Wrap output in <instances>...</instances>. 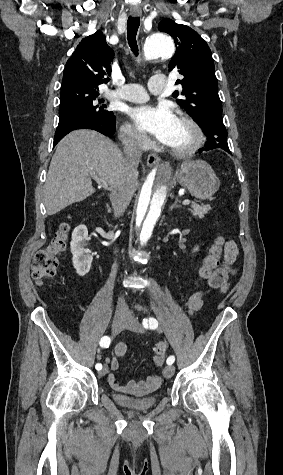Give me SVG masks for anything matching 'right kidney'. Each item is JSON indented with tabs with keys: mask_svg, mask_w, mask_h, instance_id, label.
<instances>
[{
	"mask_svg": "<svg viewBox=\"0 0 283 475\" xmlns=\"http://www.w3.org/2000/svg\"><path fill=\"white\" fill-rule=\"evenodd\" d=\"M88 230L86 226H77L72 232V239L70 241L71 253L73 255V265L78 275H86L90 271L92 263V255L90 249H87Z\"/></svg>",
	"mask_w": 283,
	"mask_h": 475,
	"instance_id": "right-kidney-1",
	"label": "right kidney"
}]
</instances>
